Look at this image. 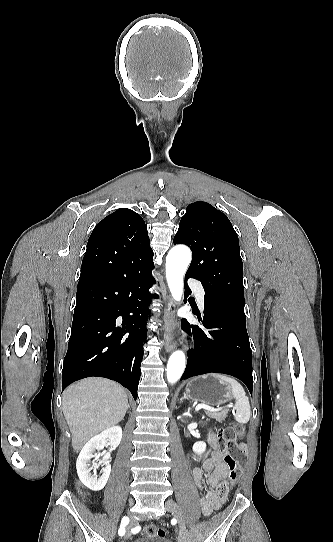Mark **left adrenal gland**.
<instances>
[{
    "mask_svg": "<svg viewBox=\"0 0 333 542\" xmlns=\"http://www.w3.org/2000/svg\"><path fill=\"white\" fill-rule=\"evenodd\" d=\"M183 400H188L186 394H184L183 398H180V402H183Z\"/></svg>",
    "mask_w": 333,
    "mask_h": 542,
    "instance_id": "left-adrenal-gland-1",
    "label": "left adrenal gland"
}]
</instances>
